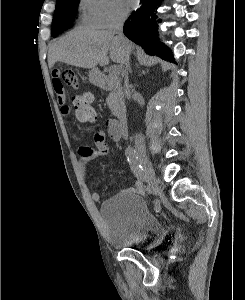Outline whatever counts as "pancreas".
Segmentation results:
<instances>
[{"label":"pancreas","mask_w":245,"mask_h":300,"mask_svg":"<svg viewBox=\"0 0 245 300\" xmlns=\"http://www.w3.org/2000/svg\"><path fill=\"white\" fill-rule=\"evenodd\" d=\"M109 79L111 80L114 89L108 95L107 104L113 113H116L117 111H123L125 109V103L124 92L121 87V81L118 78L117 74H110Z\"/></svg>","instance_id":"1"}]
</instances>
